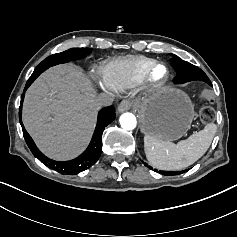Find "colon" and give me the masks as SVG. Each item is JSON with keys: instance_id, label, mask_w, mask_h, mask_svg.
<instances>
[{"instance_id": "colon-1", "label": "colon", "mask_w": 237, "mask_h": 237, "mask_svg": "<svg viewBox=\"0 0 237 237\" xmlns=\"http://www.w3.org/2000/svg\"><path fill=\"white\" fill-rule=\"evenodd\" d=\"M201 97L205 100L212 101L213 100V93L210 90H204L201 93ZM200 120L205 123H211L215 119V110L212 106L206 105L200 109L199 112Z\"/></svg>"}]
</instances>
